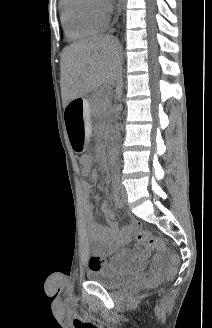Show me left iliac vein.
I'll use <instances>...</instances> for the list:
<instances>
[{"label":"left iliac vein","instance_id":"1","mask_svg":"<svg viewBox=\"0 0 212 328\" xmlns=\"http://www.w3.org/2000/svg\"><path fill=\"white\" fill-rule=\"evenodd\" d=\"M120 189H121V198H122V201L124 203H127V192H126V189L123 185H120Z\"/></svg>","mask_w":212,"mask_h":328}]
</instances>
